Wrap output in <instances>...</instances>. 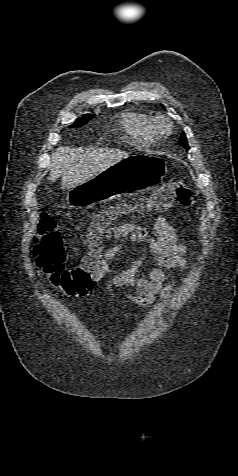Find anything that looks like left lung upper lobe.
<instances>
[{"mask_svg":"<svg viewBox=\"0 0 238 476\" xmlns=\"http://www.w3.org/2000/svg\"><path fill=\"white\" fill-rule=\"evenodd\" d=\"M180 145L184 148H186L187 150L189 149V145L187 144V140H186V136L184 133H182L181 137H180Z\"/></svg>","mask_w":238,"mask_h":476,"instance_id":"obj_1","label":"left lung upper lobe"}]
</instances>
